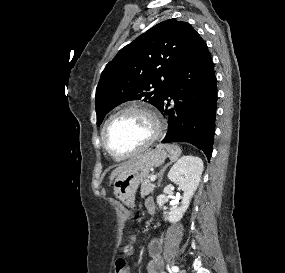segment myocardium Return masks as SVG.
Here are the masks:
<instances>
[{"label":"myocardium","instance_id":"1","mask_svg":"<svg viewBox=\"0 0 285 273\" xmlns=\"http://www.w3.org/2000/svg\"><path fill=\"white\" fill-rule=\"evenodd\" d=\"M127 112H138L141 114L146 115L153 126V133L150 136V138L144 142L142 145H140L138 148H136L133 151L127 152V153H119L113 150L107 141V131L109 129V126L111 123L120 115L127 113ZM164 131V123L160 116V114L151 106L143 105V104H132L127 105L119 110H117L115 113H113L105 122L103 128H102V143L104 148L114 157L116 158H128L135 156L144 150H146L148 147H150L154 142H156L162 135Z\"/></svg>","mask_w":285,"mask_h":273}]
</instances>
